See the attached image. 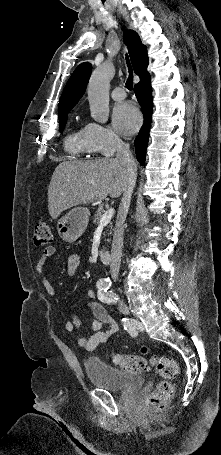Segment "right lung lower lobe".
<instances>
[{
  "instance_id": "1",
  "label": "right lung lower lobe",
  "mask_w": 221,
  "mask_h": 455,
  "mask_svg": "<svg viewBox=\"0 0 221 455\" xmlns=\"http://www.w3.org/2000/svg\"><path fill=\"white\" fill-rule=\"evenodd\" d=\"M134 90L137 100L142 107L144 116V123L139 131L138 136L135 139L134 145L137 159L141 165H144L153 106L151 80L147 69L143 76L140 78V82L135 85Z\"/></svg>"
}]
</instances>
